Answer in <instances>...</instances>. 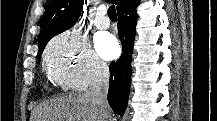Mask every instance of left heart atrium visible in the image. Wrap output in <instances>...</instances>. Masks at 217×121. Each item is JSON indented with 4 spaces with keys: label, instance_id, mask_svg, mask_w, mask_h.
Here are the masks:
<instances>
[{
    "label": "left heart atrium",
    "instance_id": "obj_1",
    "mask_svg": "<svg viewBox=\"0 0 217 121\" xmlns=\"http://www.w3.org/2000/svg\"><path fill=\"white\" fill-rule=\"evenodd\" d=\"M96 48L98 53L106 59H112L119 53V45L110 34L100 36L97 40Z\"/></svg>",
    "mask_w": 217,
    "mask_h": 121
}]
</instances>
